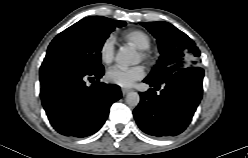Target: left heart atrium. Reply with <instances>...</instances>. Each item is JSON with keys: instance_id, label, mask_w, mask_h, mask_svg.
Wrapping results in <instances>:
<instances>
[{"instance_id": "39dd6f15", "label": "left heart atrium", "mask_w": 248, "mask_h": 158, "mask_svg": "<svg viewBox=\"0 0 248 158\" xmlns=\"http://www.w3.org/2000/svg\"><path fill=\"white\" fill-rule=\"evenodd\" d=\"M144 74L145 70L142 65L126 68L114 66L106 72V80L113 85L129 87L134 82L141 79Z\"/></svg>"}]
</instances>
